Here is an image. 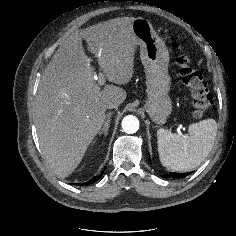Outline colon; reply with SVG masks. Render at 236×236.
Wrapping results in <instances>:
<instances>
[{
  "label": "colon",
  "instance_id": "obj_1",
  "mask_svg": "<svg viewBox=\"0 0 236 236\" xmlns=\"http://www.w3.org/2000/svg\"><path fill=\"white\" fill-rule=\"evenodd\" d=\"M171 47L173 49H178L179 45L176 42H173ZM177 64L182 82L191 93L192 102L195 108L194 114L197 117H201L206 114L207 110L212 105L213 97L208 90L202 73L193 65L190 55L179 53Z\"/></svg>",
  "mask_w": 236,
  "mask_h": 236
}]
</instances>
